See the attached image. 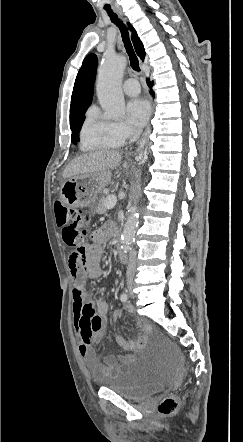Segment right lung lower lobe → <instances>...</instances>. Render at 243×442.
I'll return each instance as SVG.
<instances>
[{"instance_id": "1", "label": "right lung lower lobe", "mask_w": 243, "mask_h": 442, "mask_svg": "<svg viewBox=\"0 0 243 442\" xmlns=\"http://www.w3.org/2000/svg\"><path fill=\"white\" fill-rule=\"evenodd\" d=\"M147 83H148L149 87L152 88L153 82H150L149 80H147Z\"/></svg>"}]
</instances>
